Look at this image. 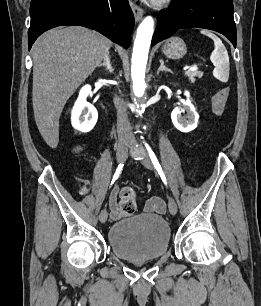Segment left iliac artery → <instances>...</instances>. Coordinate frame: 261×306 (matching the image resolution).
I'll use <instances>...</instances> for the list:
<instances>
[{
  "label": "left iliac artery",
  "instance_id": "obj_1",
  "mask_svg": "<svg viewBox=\"0 0 261 306\" xmlns=\"http://www.w3.org/2000/svg\"><path fill=\"white\" fill-rule=\"evenodd\" d=\"M146 148H147V150L149 152V156L151 158V161H152L153 165L155 166L156 170L160 174V176H161L162 180L164 181V183L167 185L165 175H164V173L162 171V168H161V166H160V164H159V162H158L154 152L152 151V149L150 148V146L148 144H146Z\"/></svg>",
  "mask_w": 261,
  "mask_h": 306
}]
</instances>
